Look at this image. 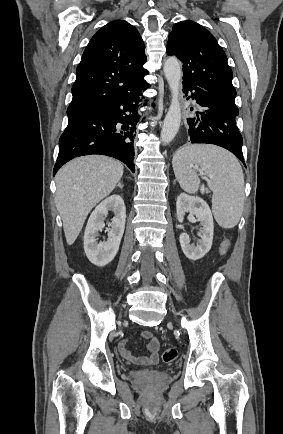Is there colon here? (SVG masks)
I'll use <instances>...</instances> for the list:
<instances>
[{"label":"colon","mask_w":283,"mask_h":434,"mask_svg":"<svg viewBox=\"0 0 283 434\" xmlns=\"http://www.w3.org/2000/svg\"><path fill=\"white\" fill-rule=\"evenodd\" d=\"M229 248V241L224 240L221 245V254H225ZM178 357V352L176 349L170 348L163 352L162 359L166 363H171L175 361Z\"/></svg>","instance_id":"colon-1"}]
</instances>
